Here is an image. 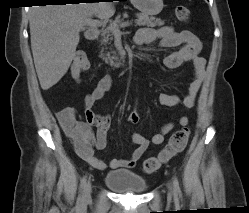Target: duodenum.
<instances>
[{"mask_svg": "<svg viewBox=\"0 0 249 213\" xmlns=\"http://www.w3.org/2000/svg\"><path fill=\"white\" fill-rule=\"evenodd\" d=\"M99 31L96 28H91L86 32V37L89 41H94L97 39Z\"/></svg>", "mask_w": 249, "mask_h": 213, "instance_id": "1", "label": "duodenum"}]
</instances>
